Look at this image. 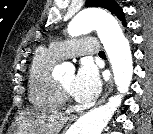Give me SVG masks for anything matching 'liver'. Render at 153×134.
<instances>
[{"label": "liver", "instance_id": "1", "mask_svg": "<svg viewBox=\"0 0 153 134\" xmlns=\"http://www.w3.org/2000/svg\"><path fill=\"white\" fill-rule=\"evenodd\" d=\"M18 134H56L66 117L62 113L45 110H27L19 118Z\"/></svg>", "mask_w": 153, "mask_h": 134}]
</instances>
